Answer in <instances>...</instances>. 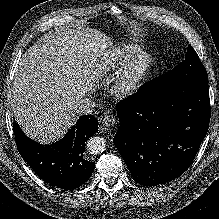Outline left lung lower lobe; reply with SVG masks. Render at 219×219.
<instances>
[{"label":"left lung lower lobe","mask_w":219,"mask_h":219,"mask_svg":"<svg viewBox=\"0 0 219 219\" xmlns=\"http://www.w3.org/2000/svg\"><path fill=\"white\" fill-rule=\"evenodd\" d=\"M137 93L117 104L120 126L113 143L134 180L157 186L182 175L208 131V82H188L159 93Z\"/></svg>","instance_id":"0a47b994"}]
</instances>
